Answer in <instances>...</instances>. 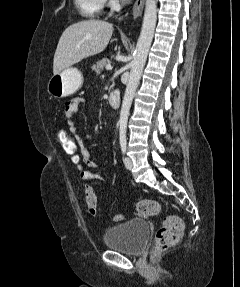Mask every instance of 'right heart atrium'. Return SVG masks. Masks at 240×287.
<instances>
[{"mask_svg":"<svg viewBox=\"0 0 240 287\" xmlns=\"http://www.w3.org/2000/svg\"><path fill=\"white\" fill-rule=\"evenodd\" d=\"M103 1H104L105 4H108V5H110L112 3L111 0H103Z\"/></svg>","mask_w":240,"mask_h":287,"instance_id":"obj_1","label":"right heart atrium"}]
</instances>
